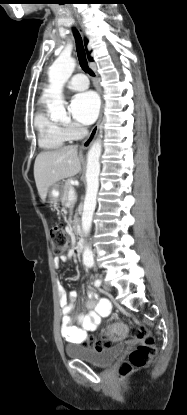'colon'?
<instances>
[{
    "instance_id": "1",
    "label": "colon",
    "mask_w": 187,
    "mask_h": 415,
    "mask_svg": "<svg viewBox=\"0 0 187 415\" xmlns=\"http://www.w3.org/2000/svg\"><path fill=\"white\" fill-rule=\"evenodd\" d=\"M53 242L52 249L55 255H61L68 248L70 238L60 225H53L50 229ZM128 335L127 327L121 322H115L104 330L99 339L91 344L95 349H102ZM129 335L140 340V344L129 354L128 360L121 364L120 374L127 375L132 368H141L147 365L156 351L155 341L150 331L139 324L130 328Z\"/></svg>"
}]
</instances>
